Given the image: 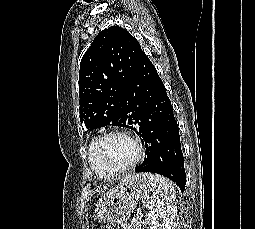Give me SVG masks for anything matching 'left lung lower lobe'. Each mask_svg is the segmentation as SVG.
<instances>
[{"label":"left lung lower lobe","instance_id":"0a47b994","mask_svg":"<svg viewBox=\"0 0 255 229\" xmlns=\"http://www.w3.org/2000/svg\"><path fill=\"white\" fill-rule=\"evenodd\" d=\"M127 128L145 143V158L135 172H151L173 180L183 192L184 158L173 107L156 68L143 52L124 92Z\"/></svg>","mask_w":255,"mask_h":229}]
</instances>
